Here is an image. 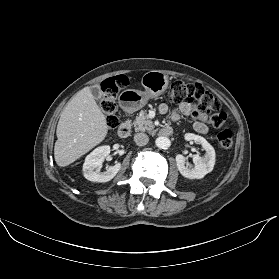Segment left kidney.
<instances>
[{
  "mask_svg": "<svg viewBox=\"0 0 279 279\" xmlns=\"http://www.w3.org/2000/svg\"><path fill=\"white\" fill-rule=\"evenodd\" d=\"M187 141L194 140L202 145L206 154L201 157L194 155V166L186 163L185 157L181 154L176 155L177 168L182 176L189 179H202L207 173L213 170L215 165V150L214 148L201 136L187 133L185 134Z\"/></svg>",
  "mask_w": 279,
  "mask_h": 279,
  "instance_id": "obj_1",
  "label": "left kidney"
}]
</instances>
